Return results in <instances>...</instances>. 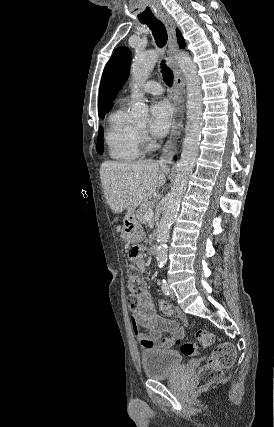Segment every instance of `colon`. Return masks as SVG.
<instances>
[{
	"label": "colon",
	"mask_w": 274,
	"mask_h": 427,
	"mask_svg": "<svg viewBox=\"0 0 274 427\" xmlns=\"http://www.w3.org/2000/svg\"><path fill=\"white\" fill-rule=\"evenodd\" d=\"M144 257V248L139 245L131 246V260L139 261ZM128 289L130 298L128 304L134 307L137 304L138 296L142 292L144 283L139 277V270L130 266L127 268ZM197 344L210 346L214 342V336L211 331L199 329L196 331ZM196 344L186 342L181 345V353L184 358H190L195 355ZM237 358L234 346L228 342L217 343L213 350L211 359L202 365L196 376V385L199 389H207L210 385L222 380L223 372L234 365Z\"/></svg>",
	"instance_id": "obj_1"
}]
</instances>
